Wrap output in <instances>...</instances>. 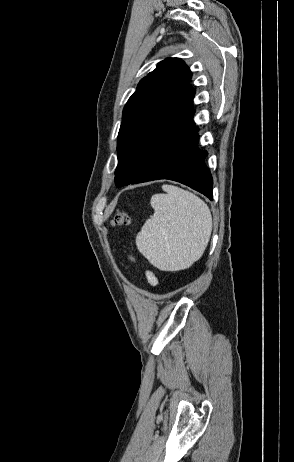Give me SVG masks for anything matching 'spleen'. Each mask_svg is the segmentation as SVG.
I'll return each mask as SVG.
<instances>
[{
    "mask_svg": "<svg viewBox=\"0 0 294 462\" xmlns=\"http://www.w3.org/2000/svg\"><path fill=\"white\" fill-rule=\"evenodd\" d=\"M165 194L151 198L154 214L137 234L138 250L160 270L190 267L205 251L212 231L207 204L195 194L163 185Z\"/></svg>",
    "mask_w": 294,
    "mask_h": 462,
    "instance_id": "3e777b00",
    "label": "spleen"
}]
</instances>
